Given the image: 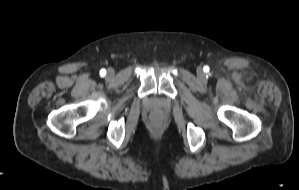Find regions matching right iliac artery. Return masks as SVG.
Masks as SVG:
<instances>
[{
	"label": "right iliac artery",
	"instance_id": "right-iliac-artery-1",
	"mask_svg": "<svg viewBox=\"0 0 299 190\" xmlns=\"http://www.w3.org/2000/svg\"><path fill=\"white\" fill-rule=\"evenodd\" d=\"M100 75L101 76H105L106 75V70L105 69H101L100 70Z\"/></svg>",
	"mask_w": 299,
	"mask_h": 190
}]
</instances>
